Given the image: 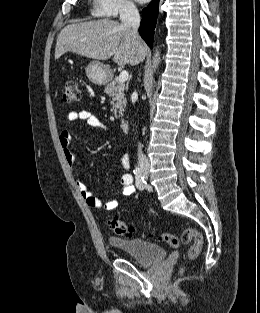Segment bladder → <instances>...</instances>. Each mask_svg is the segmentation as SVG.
Segmentation results:
<instances>
[{
  "label": "bladder",
  "mask_w": 260,
  "mask_h": 313,
  "mask_svg": "<svg viewBox=\"0 0 260 313\" xmlns=\"http://www.w3.org/2000/svg\"><path fill=\"white\" fill-rule=\"evenodd\" d=\"M109 243L111 246L131 255L138 264L143 266L162 261L166 257V251L163 247L142 239H124L111 236L109 237Z\"/></svg>",
  "instance_id": "obj_1"
}]
</instances>
